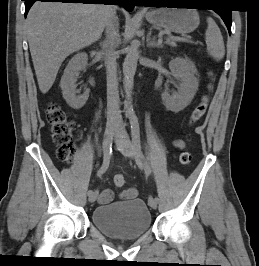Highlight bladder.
Here are the masks:
<instances>
[{
	"instance_id": "31cf9c89",
	"label": "bladder",
	"mask_w": 259,
	"mask_h": 266,
	"mask_svg": "<svg viewBox=\"0 0 259 266\" xmlns=\"http://www.w3.org/2000/svg\"><path fill=\"white\" fill-rule=\"evenodd\" d=\"M91 221L108 237L134 240L150 230L152 216L146 203L140 198H134L95 207Z\"/></svg>"
}]
</instances>
